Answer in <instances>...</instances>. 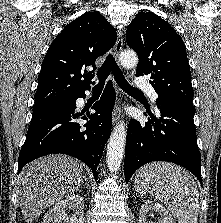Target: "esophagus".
<instances>
[{
	"label": "esophagus",
	"instance_id": "obj_1",
	"mask_svg": "<svg viewBox=\"0 0 221 223\" xmlns=\"http://www.w3.org/2000/svg\"><path fill=\"white\" fill-rule=\"evenodd\" d=\"M123 32L121 30L118 31V36H117V41L114 47V56L115 59L118 60L119 58V54L122 50V46H123ZM121 118V106L119 104V100L118 103L116 104L114 110H113V122L117 123Z\"/></svg>",
	"mask_w": 221,
	"mask_h": 223
}]
</instances>
